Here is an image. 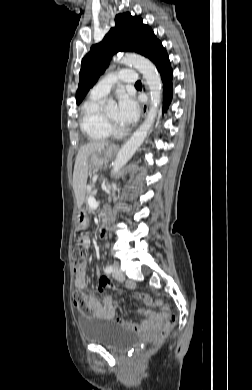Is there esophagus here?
Returning a JSON list of instances; mask_svg holds the SVG:
<instances>
[{"mask_svg": "<svg viewBox=\"0 0 252 390\" xmlns=\"http://www.w3.org/2000/svg\"><path fill=\"white\" fill-rule=\"evenodd\" d=\"M145 90H146V94H147V99H146L145 103L142 106V118H144L146 116L147 111H148V107H149V103H150V97H149V93L147 91L146 85H145Z\"/></svg>", "mask_w": 252, "mask_h": 390, "instance_id": "1", "label": "esophagus"}]
</instances>
